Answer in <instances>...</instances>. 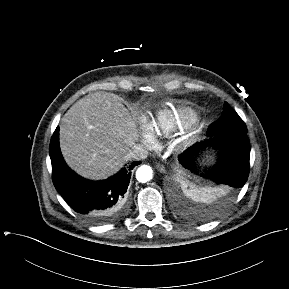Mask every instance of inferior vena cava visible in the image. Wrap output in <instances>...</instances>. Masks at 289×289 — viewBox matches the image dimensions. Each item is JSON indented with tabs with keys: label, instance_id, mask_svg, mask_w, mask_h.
Returning <instances> with one entry per match:
<instances>
[{
	"label": "inferior vena cava",
	"instance_id": "obj_1",
	"mask_svg": "<svg viewBox=\"0 0 289 289\" xmlns=\"http://www.w3.org/2000/svg\"><path fill=\"white\" fill-rule=\"evenodd\" d=\"M148 156V151L141 145H134L129 153L126 155L128 160H141Z\"/></svg>",
	"mask_w": 289,
	"mask_h": 289
}]
</instances>
